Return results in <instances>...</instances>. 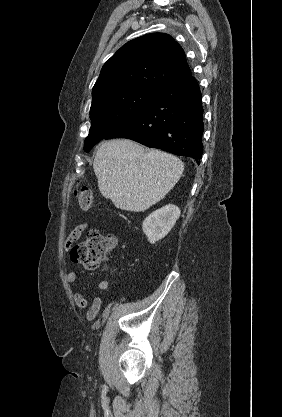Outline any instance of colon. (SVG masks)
I'll list each match as a JSON object with an SVG mask.
<instances>
[{
    "label": "colon",
    "instance_id": "5ec220e1",
    "mask_svg": "<svg viewBox=\"0 0 282 417\" xmlns=\"http://www.w3.org/2000/svg\"><path fill=\"white\" fill-rule=\"evenodd\" d=\"M78 204L86 209H91L94 198L91 190L87 187L80 188L75 193ZM107 245L96 232L92 231L89 237L71 250V259L75 264L84 265L90 269H105L107 262Z\"/></svg>",
    "mask_w": 282,
    "mask_h": 417
}]
</instances>
